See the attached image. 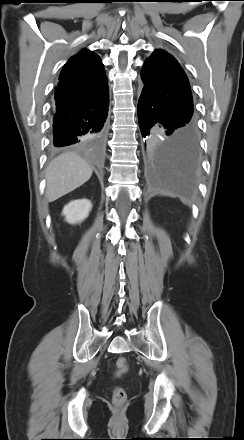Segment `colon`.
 Wrapping results in <instances>:
<instances>
[{
	"instance_id": "5ec220e1",
	"label": "colon",
	"mask_w": 244,
	"mask_h": 440,
	"mask_svg": "<svg viewBox=\"0 0 244 440\" xmlns=\"http://www.w3.org/2000/svg\"><path fill=\"white\" fill-rule=\"evenodd\" d=\"M129 362L126 358L120 357L116 362V373L122 374L127 371ZM127 395L122 387H115L113 390V402L122 405L126 401Z\"/></svg>"
}]
</instances>
